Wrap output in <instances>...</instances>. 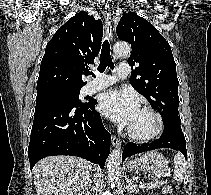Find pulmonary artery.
I'll list each match as a JSON object with an SVG mask.
<instances>
[{
  "mask_svg": "<svg viewBox=\"0 0 211 195\" xmlns=\"http://www.w3.org/2000/svg\"><path fill=\"white\" fill-rule=\"evenodd\" d=\"M130 73V67L126 63H121L118 66L117 77L111 75L100 74L97 75L92 81L87 83L85 89L87 93H94L98 90L107 88L113 85L117 78H126Z\"/></svg>",
  "mask_w": 211,
  "mask_h": 195,
  "instance_id": "1",
  "label": "pulmonary artery"
}]
</instances>
